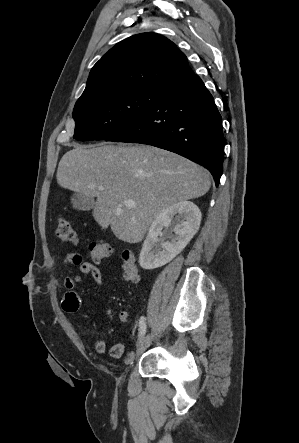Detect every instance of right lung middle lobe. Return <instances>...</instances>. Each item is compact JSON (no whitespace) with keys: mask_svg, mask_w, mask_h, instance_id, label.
Instances as JSON below:
<instances>
[{"mask_svg":"<svg viewBox=\"0 0 299 443\" xmlns=\"http://www.w3.org/2000/svg\"><path fill=\"white\" fill-rule=\"evenodd\" d=\"M162 93L151 88H121L80 99L73 110V137L105 140L140 118Z\"/></svg>","mask_w":299,"mask_h":443,"instance_id":"dd1d6c3e","label":"right lung middle lobe"}]
</instances>
